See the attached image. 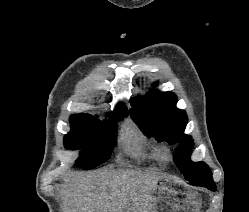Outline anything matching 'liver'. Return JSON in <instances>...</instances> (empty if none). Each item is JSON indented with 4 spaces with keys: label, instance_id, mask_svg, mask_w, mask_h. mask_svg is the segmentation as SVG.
Wrapping results in <instances>:
<instances>
[{
    "label": "liver",
    "instance_id": "liver-1",
    "mask_svg": "<svg viewBox=\"0 0 249 212\" xmlns=\"http://www.w3.org/2000/svg\"><path fill=\"white\" fill-rule=\"evenodd\" d=\"M158 180L139 170L75 174L64 180V212H151Z\"/></svg>",
    "mask_w": 249,
    "mask_h": 212
}]
</instances>
